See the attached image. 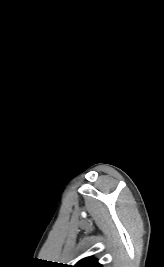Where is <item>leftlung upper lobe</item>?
Here are the masks:
<instances>
[{
    "mask_svg": "<svg viewBox=\"0 0 164 267\" xmlns=\"http://www.w3.org/2000/svg\"><path fill=\"white\" fill-rule=\"evenodd\" d=\"M71 267H102V265L99 264L96 259L87 257V258L80 260L74 266H71Z\"/></svg>",
    "mask_w": 164,
    "mask_h": 267,
    "instance_id": "1",
    "label": "left lung upper lobe"
}]
</instances>
